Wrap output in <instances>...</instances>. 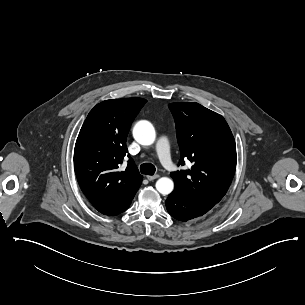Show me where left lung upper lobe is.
<instances>
[{
    "instance_id": "left-lung-upper-lobe-1",
    "label": "left lung upper lobe",
    "mask_w": 305,
    "mask_h": 305,
    "mask_svg": "<svg viewBox=\"0 0 305 305\" xmlns=\"http://www.w3.org/2000/svg\"><path fill=\"white\" fill-rule=\"evenodd\" d=\"M175 119L181 151L191 169L172 172L174 191L206 203H218L226 194L236 169V145L225 119L198 103L168 105Z\"/></svg>"
}]
</instances>
